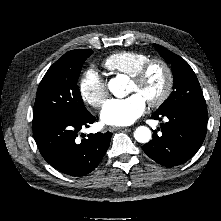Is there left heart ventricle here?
<instances>
[{"label": "left heart ventricle", "mask_w": 221, "mask_h": 221, "mask_svg": "<svg viewBox=\"0 0 221 221\" xmlns=\"http://www.w3.org/2000/svg\"><path fill=\"white\" fill-rule=\"evenodd\" d=\"M165 85V74L160 66H153L141 85L130 84V93H138L145 101L160 95Z\"/></svg>", "instance_id": "left-heart-ventricle-1"}]
</instances>
